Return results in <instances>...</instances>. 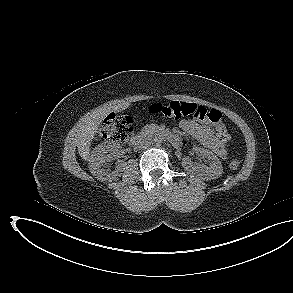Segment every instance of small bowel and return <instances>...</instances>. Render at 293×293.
<instances>
[{
	"instance_id": "1",
	"label": "small bowel",
	"mask_w": 293,
	"mask_h": 293,
	"mask_svg": "<svg viewBox=\"0 0 293 293\" xmlns=\"http://www.w3.org/2000/svg\"><path fill=\"white\" fill-rule=\"evenodd\" d=\"M180 128L197 139L202 145L212 150L221 159H226L227 150L215 135L216 128L194 120L184 119L180 122Z\"/></svg>"
}]
</instances>
